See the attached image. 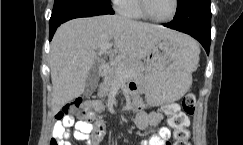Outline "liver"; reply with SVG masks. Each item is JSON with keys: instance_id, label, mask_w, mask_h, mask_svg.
Instances as JSON below:
<instances>
[{"instance_id": "liver-1", "label": "liver", "mask_w": 243, "mask_h": 145, "mask_svg": "<svg viewBox=\"0 0 243 145\" xmlns=\"http://www.w3.org/2000/svg\"><path fill=\"white\" fill-rule=\"evenodd\" d=\"M162 39L178 43L189 37L165 27L118 15L77 18L62 24L51 43L52 111L57 113L84 92L86 78L98 58V49L114 43L125 59L139 61Z\"/></svg>"}]
</instances>
